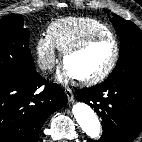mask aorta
Listing matches in <instances>:
<instances>
[{
	"instance_id": "obj_1",
	"label": "aorta",
	"mask_w": 142,
	"mask_h": 142,
	"mask_svg": "<svg viewBox=\"0 0 142 142\" xmlns=\"http://www.w3.org/2000/svg\"><path fill=\"white\" fill-rule=\"evenodd\" d=\"M72 113L81 129L91 138L97 139L101 135V126L97 115L84 102H77L72 107Z\"/></svg>"
}]
</instances>
